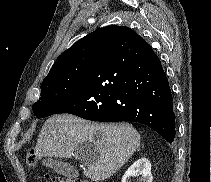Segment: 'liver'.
<instances>
[{
    "instance_id": "obj_1",
    "label": "liver",
    "mask_w": 211,
    "mask_h": 182,
    "mask_svg": "<svg viewBox=\"0 0 211 182\" xmlns=\"http://www.w3.org/2000/svg\"><path fill=\"white\" fill-rule=\"evenodd\" d=\"M83 143L93 146V159L82 160L84 175L92 181L116 173L140 146V134L129 124L89 123L71 114L56 115L44 123L35 146L36 156L71 158Z\"/></svg>"
}]
</instances>
